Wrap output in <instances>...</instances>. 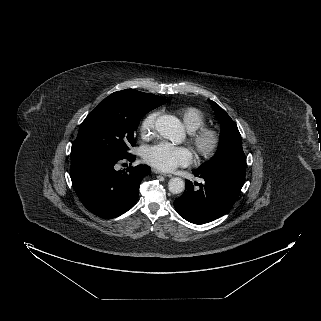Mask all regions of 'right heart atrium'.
<instances>
[{
    "mask_svg": "<svg viewBox=\"0 0 321 321\" xmlns=\"http://www.w3.org/2000/svg\"><path fill=\"white\" fill-rule=\"evenodd\" d=\"M157 117L158 113L152 112L143 119L140 125V134L143 138H149L153 135Z\"/></svg>",
    "mask_w": 321,
    "mask_h": 321,
    "instance_id": "d8ad5b80",
    "label": "right heart atrium"
}]
</instances>
